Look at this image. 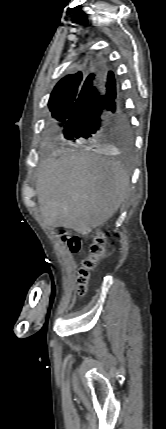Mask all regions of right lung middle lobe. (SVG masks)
Here are the masks:
<instances>
[{
    "label": "right lung middle lobe",
    "instance_id": "1",
    "mask_svg": "<svg viewBox=\"0 0 166 429\" xmlns=\"http://www.w3.org/2000/svg\"><path fill=\"white\" fill-rule=\"evenodd\" d=\"M83 79V75H76L62 80L54 87L50 95L48 106L52 116L58 120L60 126H63L66 122ZM131 139L130 126H126L114 130L104 143H114L120 147L128 148L131 145Z\"/></svg>",
    "mask_w": 166,
    "mask_h": 429
}]
</instances>
